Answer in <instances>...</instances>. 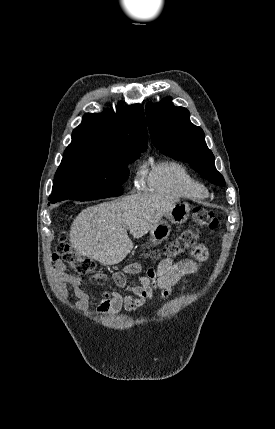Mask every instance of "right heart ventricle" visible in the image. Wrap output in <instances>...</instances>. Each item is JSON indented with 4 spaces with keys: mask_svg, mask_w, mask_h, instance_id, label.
<instances>
[{
    "mask_svg": "<svg viewBox=\"0 0 275 429\" xmlns=\"http://www.w3.org/2000/svg\"><path fill=\"white\" fill-rule=\"evenodd\" d=\"M144 186L147 190L190 199H203L206 187L182 163L163 160L145 171Z\"/></svg>",
    "mask_w": 275,
    "mask_h": 429,
    "instance_id": "e07e8e85",
    "label": "right heart ventricle"
}]
</instances>
